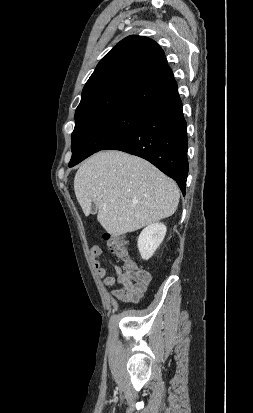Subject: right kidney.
<instances>
[{
	"mask_svg": "<svg viewBox=\"0 0 253 413\" xmlns=\"http://www.w3.org/2000/svg\"><path fill=\"white\" fill-rule=\"evenodd\" d=\"M167 228L163 223H154L148 225L139 235L137 246L141 257L144 260L151 258L162 243Z\"/></svg>",
	"mask_w": 253,
	"mask_h": 413,
	"instance_id": "obj_1",
	"label": "right kidney"
}]
</instances>
